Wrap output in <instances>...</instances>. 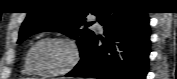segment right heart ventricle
<instances>
[{
  "instance_id": "e07e8e85",
  "label": "right heart ventricle",
  "mask_w": 177,
  "mask_h": 79,
  "mask_svg": "<svg viewBox=\"0 0 177 79\" xmlns=\"http://www.w3.org/2000/svg\"><path fill=\"white\" fill-rule=\"evenodd\" d=\"M23 72L26 73V74H34L35 73L29 65L28 53L26 54V57H25V60H24Z\"/></svg>"
}]
</instances>
